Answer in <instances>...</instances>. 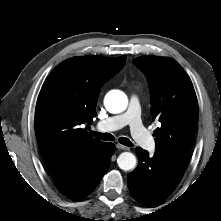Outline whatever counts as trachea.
<instances>
[{"label":"trachea","instance_id":"3493384b","mask_svg":"<svg viewBox=\"0 0 221 221\" xmlns=\"http://www.w3.org/2000/svg\"><path fill=\"white\" fill-rule=\"evenodd\" d=\"M90 133H91V135H93L94 137H96L97 139H100V140H104V141H113L114 140V136L110 133H99V132H95L92 130H90ZM119 142L122 145H125L128 147L133 146L132 142L128 138H125V137H120Z\"/></svg>","mask_w":221,"mask_h":221}]
</instances>
